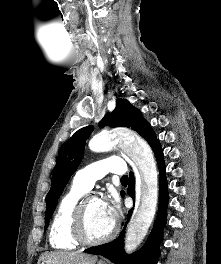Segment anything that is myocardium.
I'll return each instance as SVG.
<instances>
[{
  "instance_id": "obj_1",
  "label": "myocardium",
  "mask_w": 221,
  "mask_h": 264,
  "mask_svg": "<svg viewBox=\"0 0 221 264\" xmlns=\"http://www.w3.org/2000/svg\"><path fill=\"white\" fill-rule=\"evenodd\" d=\"M100 200L96 195L85 194L78 201L74 207L72 217H71V233L73 238L82 245L94 246L100 245L110 241L117 233V224L114 221L113 226L109 233L102 238L92 239L88 236L85 227V213L86 207L89 201Z\"/></svg>"
}]
</instances>
